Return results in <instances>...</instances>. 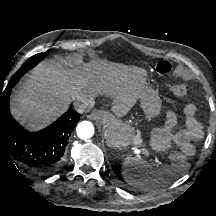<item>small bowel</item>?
I'll list each match as a JSON object with an SVG mask.
<instances>
[{"mask_svg": "<svg viewBox=\"0 0 216 216\" xmlns=\"http://www.w3.org/2000/svg\"><path fill=\"white\" fill-rule=\"evenodd\" d=\"M182 111L185 116L183 126L178 124L174 112L167 113L161 129V143L164 146L179 149L186 156H193L195 153L193 142L203 138V126L195 116L196 107L194 104H186Z\"/></svg>", "mask_w": 216, "mask_h": 216, "instance_id": "1", "label": "small bowel"}]
</instances>
